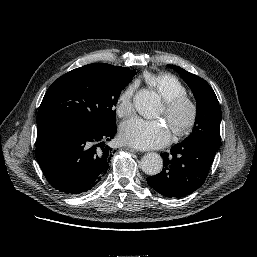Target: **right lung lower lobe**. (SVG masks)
I'll return each mask as SVG.
<instances>
[{
	"label": "right lung lower lobe",
	"mask_w": 257,
	"mask_h": 257,
	"mask_svg": "<svg viewBox=\"0 0 257 257\" xmlns=\"http://www.w3.org/2000/svg\"><path fill=\"white\" fill-rule=\"evenodd\" d=\"M116 124L95 127L75 119H54L38 125L36 158L48 180L67 194L84 193L106 174Z\"/></svg>",
	"instance_id": "right-lung-lower-lobe-1"
}]
</instances>
